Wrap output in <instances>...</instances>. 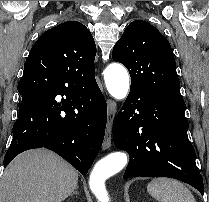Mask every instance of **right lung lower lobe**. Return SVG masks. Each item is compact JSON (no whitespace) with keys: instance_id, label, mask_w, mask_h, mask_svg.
<instances>
[{"instance_id":"right-lung-lower-lobe-1","label":"right lung lower lobe","mask_w":209,"mask_h":202,"mask_svg":"<svg viewBox=\"0 0 209 202\" xmlns=\"http://www.w3.org/2000/svg\"><path fill=\"white\" fill-rule=\"evenodd\" d=\"M17 89L21 104L4 167L21 152L43 147L86 175L101 148L107 121L106 101L97 83L73 89L47 70L36 69L24 71Z\"/></svg>"}]
</instances>
